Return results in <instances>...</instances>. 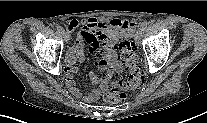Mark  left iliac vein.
I'll return each instance as SVG.
<instances>
[{
    "mask_svg": "<svg viewBox=\"0 0 207 123\" xmlns=\"http://www.w3.org/2000/svg\"><path fill=\"white\" fill-rule=\"evenodd\" d=\"M142 32H143V30H142L141 27L137 29V31H136V33H135V40H136L137 42H139V41L141 40Z\"/></svg>",
    "mask_w": 207,
    "mask_h": 123,
    "instance_id": "4c4485c4",
    "label": "left iliac vein"
}]
</instances>
